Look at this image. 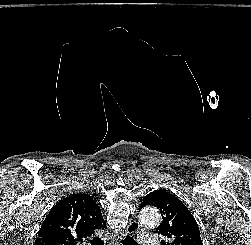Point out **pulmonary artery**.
Listing matches in <instances>:
<instances>
[{"label":"pulmonary artery","instance_id":"obj_1","mask_svg":"<svg viewBox=\"0 0 251 245\" xmlns=\"http://www.w3.org/2000/svg\"><path fill=\"white\" fill-rule=\"evenodd\" d=\"M140 243L142 245H158L157 238L155 236H150L147 234L140 233Z\"/></svg>","mask_w":251,"mask_h":245}]
</instances>
